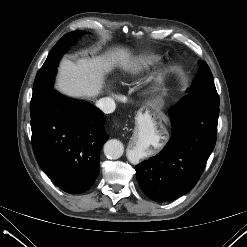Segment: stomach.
<instances>
[{
  "mask_svg": "<svg viewBox=\"0 0 247 247\" xmlns=\"http://www.w3.org/2000/svg\"><path fill=\"white\" fill-rule=\"evenodd\" d=\"M162 107L161 102L149 103L144 106L138 114L137 125H149L154 120L161 121L163 119Z\"/></svg>",
  "mask_w": 247,
  "mask_h": 247,
  "instance_id": "stomach-1",
  "label": "stomach"
}]
</instances>
